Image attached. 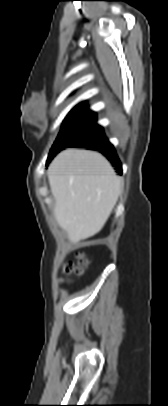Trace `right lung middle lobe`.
Listing matches in <instances>:
<instances>
[{"mask_svg": "<svg viewBox=\"0 0 168 406\" xmlns=\"http://www.w3.org/2000/svg\"><path fill=\"white\" fill-rule=\"evenodd\" d=\"M101 130H103L102 127L96 124V113L88 110L85 106L75 107L65 118L63 127L50 150L47 161L63 148Z\"/></svg>", "mask_w": 168, "mask_h": 406, "instance_id": "obj_1", "label": "right lung middle lobe"}]
</instances>
